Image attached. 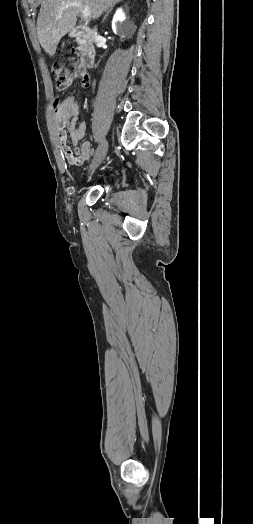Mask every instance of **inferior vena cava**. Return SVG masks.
Masks as SVG:
<instances>
[{"label": "inferior vena cava", "instance_id": "obj_1", "mask_svg": "<svg viewBox=\"0 0 253 524\" xmlns=\"http://www.w3.org/2000/svg\"><path fill=\"white\" fill-rule=\"evenodd\" d=\"M94 35H95V38H97V37H98V35H97V32H96V31L94 32Z\"/></svg>", "mask_w": 253, "mask_h": 524}]
</instances>
